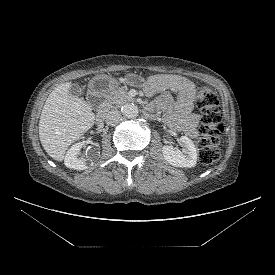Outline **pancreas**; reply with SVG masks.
I'll return each mask as SVG.
<instances>
[{
    "label": "pancreas",
    "instance_id": "cf45deb5",
    "mask_svg": "<svg viewBox=\"0 0 275 275\" xmlns=\"http://www.w3.org/2000/svg\"><path fill=\"white\" fill-rule=\"evenodd\" d=\"M134 98L128 95V92L124 88H118L105 99L106 106L108 108L113 107L114 105L119 107L124 103L133 101Z\"/></svg>",
    "mask_w": 275,
    "mask_h": 275
}]
</instances>
